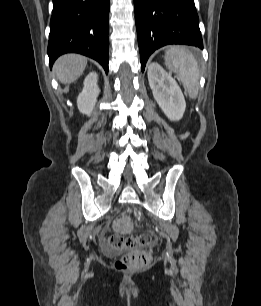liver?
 <instances>
[{
	"label": "liver",
	"instance_id": "liver-1",
	"mask_svg": "<svg viewBox=\"0 0 261 306\" xmlns=\"http://www.w3.org/2000/svg\"><path fill=\"white\" fill-rule=\"evenodd\" d=\"M87 59L76 54H67L60 57L54 65L57 79L64 84L75 82L84 72Z\"/></svg>",
	"mask_w": 261,
	"mask_h": 306
}]
</instances>
